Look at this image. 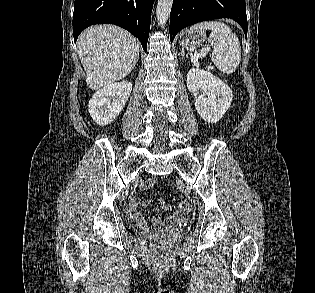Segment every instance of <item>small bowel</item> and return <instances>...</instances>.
I'll return each instance as SVG.
<instances>
[{
    "label": "small bowel",
    "mask_w": 315,
    "mask_h": 293,
    "mask_svg": "<svg viewBox=\"0 0 315 293\" xmlns=\"http://www.w3.org/2000/svg\"><path fill=\"white\" fill-rule=\"evenodd\" d=\"M154 179H148L142 186L141 189L142 190H149L153 184H154ZM159 206L162 210H169V206L165 203V201L163 199L159 200ZM128 212L129 215L131 216V218L139 225L141 226H145L146 222L145 219L143 218L142 214L139 212L138 207H137V200L136 199H132L129 204H128ZM186 213L185 211H176L175 212V220H181L182 218H185ZM164 222H171L170 218H167L165 220H162L160 217L155 216L153 218V225L155 227H159L160 225H162Z\"/></svg>",
    "instance_id": "1"
}]
</instances>
